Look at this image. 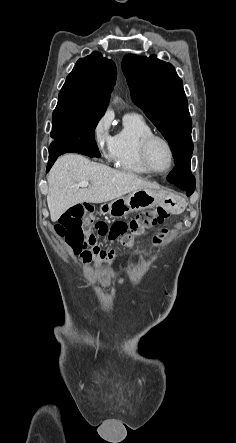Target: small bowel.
I'll return each instance as SVG.
<instances>
[{
	"instance_id": "c3829d8e",
	"label": "small bowel",
	"mask_w": 236,
	"mask_h": 443,
	"mask_svg": "<svg viewBox=\"0 0 236 443\" xmlns=\"http://www.w3.org/2000/svg\"><path fill=\"white\" fill-rule=\"evenodd\" d=\"M155 241H156V242H159V239H158V238H156V239H155Z\"/></svg>"
}]
</instances>
